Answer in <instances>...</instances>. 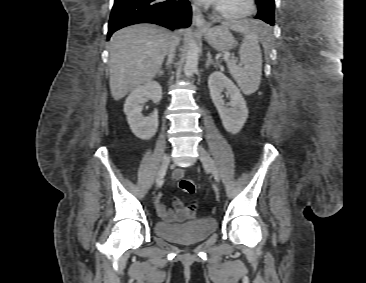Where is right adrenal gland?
I'll use <instances>...</instances> for the list:
<instances>
[{"label": "right adrenal gland", "instance_id": "right-adrenal-gland-1", "mask_svg": "<svg viewBox=\"0 0 366 283\" xmlns=\"http://www.w3.org/2000/svg\"><path fill=\"white\" fill-rule=\"evenodd\" d=\"M158 76H162L163 74H164V70H162V69H159V71H158Z\"/></svg>", "mask_w": 366, "mask_h": 283}]
</instances>
